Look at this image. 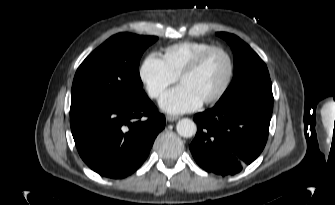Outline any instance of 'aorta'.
<instances>
[{
    "label": "aorta",
    "instance_id": "aorta-1",
    "mask_svg": "<svg viewBox=\"0 0 335 205\" xmlns=\"http://www.w3.org/2000/svg\"><path fill=\"white\" fill-rule=\"evenodd\" d=\"M177 133L185 138H190L196 134V124L188 118H183L177 122L176 125Z\"/></svg>",
    "mask_w": 335,
    "mask_h": 205
}]
</instances>
